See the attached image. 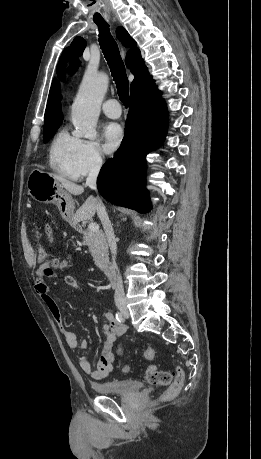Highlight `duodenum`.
I'll list each match as a JSON object with an SVG mask.
<instances>
[{"mask_svg":"<svg viewBox=\"0 0 261 459\" xmlns=\"http://www.w3.org/2000/svg\"><path fill=\"white\" fill-rule=\"evenodd\" d=\"M103 269L108 279L113 281L116 277V268L114 265L111 262H106Z\"/></svg>","mask_w":261,"mask_h":459,"instance_id":"obj_1","label":"duodenum"}]
</instances>
